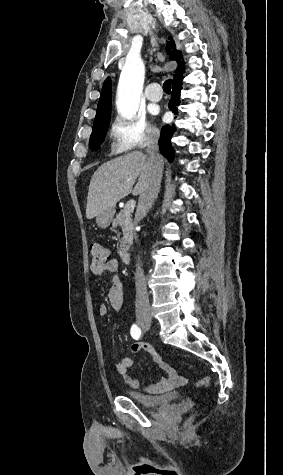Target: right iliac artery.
I'll return each mask as SVG.
<instances>
[{"mask_svg":"<svg viewBox=\"0 0 283 475\" xmlns=\"http://www.w3.org/2000/svg\"><path fill=\"white\" fill-rule=\"evenodd\" d=\"M131 336L135 339L138 340L141 336V329L137 325H132L131 327Z\"/></svg>","mask_w":283,"mask_h":475,"instance_id":"1","label":"right iliac artery"}]
</instances>
